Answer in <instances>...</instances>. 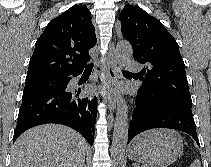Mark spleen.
<instances>
[{
  "mask_svg": "<svg viewBox=\"0 0 211 167\" xmlns=\"http://www.w3.org/2000/svg\"><path fill=\"white\" fill-rule=\"evenodd\" d=\"M190 167H201V163L199 160H194Z\"/></svg>",
  "mask_w": 211,
  "mask_h": 167,
  "instance_id": "obj_1",
  "label": "spleen"
}]
</instances>
